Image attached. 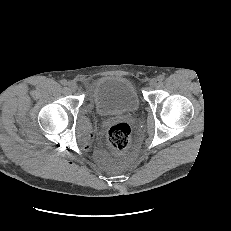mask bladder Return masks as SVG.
Masks as SVG:
<instances>
[{"instance_id": "1", "label": "bladder", "mask_w": 231, "mask_h": 231, "mask_svg": "<svg viewBox=\"0 0 231 231\" xmlns=\"http://www.w3.org/2000/svg\"><path fill=\"white\" fill-rule=\"evenodd\" d=\"M91 100L101 116L134 112L140 104L134 84L120 76L97 79L92 86Z\"/></svg>"}]
</instances>
